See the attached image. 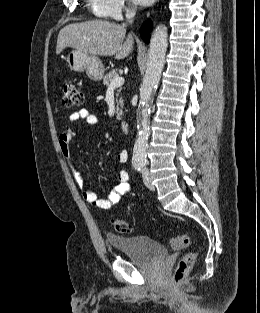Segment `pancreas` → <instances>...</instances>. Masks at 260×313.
Segmentation results:
<instances>
[{"instance_id":"obj_1","label":"pancreas","mask_w":260,"mask_h":313,"mask_svg":"<svg viewBox=\"0 0 260 313\" xmlns=\"http://www.w3.org/2000/svg\"><path fill=\"white\" fill-rule=\"evenodd\" d=\"M119 74L117 73V70H112L110 71L108 74H106L103 78V83L106 87L110 86V83L113 79H115L116 77H118ZM119 92V91H118ZM122 107H123V100L122 98L119 99L117 106H116V118L117 120H120L122 117Z\"/></svg>"}]
</instances>
